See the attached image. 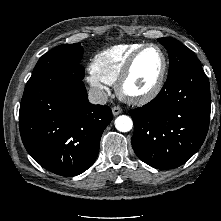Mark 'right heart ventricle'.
Returning a JSON list of instances; mask_svg holds the SVG:
<instances>
[{"mask_svg":"<svg viewBox=\"0 0 221 221\" xmlns=\"http://www.w3.org/2000/svg\"><path fill=\"white\" fill-rule=\"evenodd\" d=\"M142 43L119 44L96 54L91 62V73L106 84L116 82L126 62Z\"/></svg>","mask_w":221,"mask_h":221,"instance_id":"right-heart-ventricle-1","label":"right heart ventricle"}]
</instances>
